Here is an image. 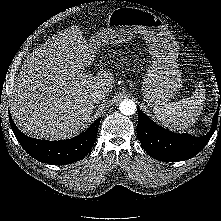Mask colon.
<instances>
[{
  "instance_id": "obj_1",
  "label": "colon",
  "mask_w": 221,
  "mask_h": 221,
  "mask_svg": "<svg viewBox=\"0 0 221 221\" xmlns=\"http://www.w3.org/2000/svg\"><path fill=\"white\" fill-rule=\"evenodd\" d=\"M183 47H188L189 45V42L187 40H184L183 43H182Z\"/></svg>"
}]
</instances>
